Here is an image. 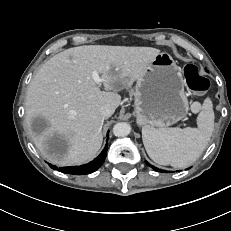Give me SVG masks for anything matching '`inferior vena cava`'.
Returning <instances> with one entry per match:
<instances>
[{"label": "inferior vena cava", "instance_id": "602c4592", "mask_svg": "<svg viewBox=\"0 0 231 231\" xmlns=\"http://www.w3.org/2000/svg\"><path fill=\"white\" fill-rule=\"evenodd\" d=\"M100 113L102 117L106 119L109 118L114 113V111L111 109V107L105 105L100 108Z\"/></svg>", "mask_w": 231, "mask_h": 231}]
</instances>
